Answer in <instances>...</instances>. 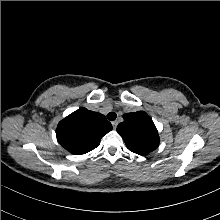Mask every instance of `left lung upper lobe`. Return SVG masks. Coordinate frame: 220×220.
Instances as JSON below:
<instances>
[{
  "label": "left lung upper lobe",
  "mask_w": 220,
  "mask_h": 220,
  "mask_svg": "<svg viewBox=\"0 0 220 220\" xmlns=\"http://www.w3.org/2000/svg\"><path fill=\"white\" fill-rule=\"evenodd\" d=\"M123 118L124 121L118 125L117 132L129 150L144 156L159 146L158 131L146 112L126 113Z\"/></svg>",
  "instance_id": "1"
}]
</instances>
